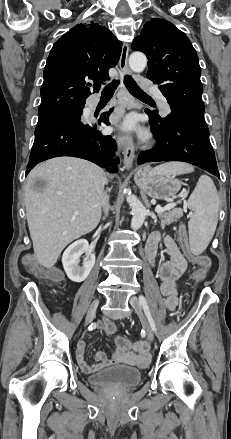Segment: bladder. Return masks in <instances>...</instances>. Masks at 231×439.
Instances as JSON below:
<instances>
[{
  "label": "bladder",
  "mask_w": 231,
  "mask_h": 439,
  "mask_svg": "<svg viewBox=\"0 0 231 439\" xmlns=\"http://www.w3.org/2000/svg\"><path fill=\"white\" fill-rule=\"evenodd\" d=\"M141 372L134 367L119 365L94 373L88 377L90 384L119 389L132 388L140 383Z\"/></svg>",
  "instance_id": "31cf9c89"
}]
</instances>
